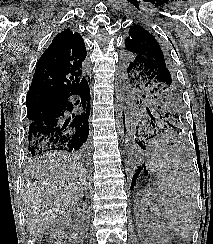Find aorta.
Listing matches in <instances>:
<instances>
[{
  "label": "aorta",
  "mask_w": 213,
  "mask_h": 244,
  "mask_svg": "<svg viewBox=\"0 0 213 244\" xmlns=\"http://www.w3.org/2000/svg\"><path fill=\"white\" fill-rule=\"evenodd\" d=\"M123 88L122 85H120L119 89H118V98L120 101L123 100ZM120 109L121 106L116 114V122H117V129L120 132V134H124V125H123V121H122V113H120Z\"/></svg>",
  "instance_id": "1"
}]
</instances>
